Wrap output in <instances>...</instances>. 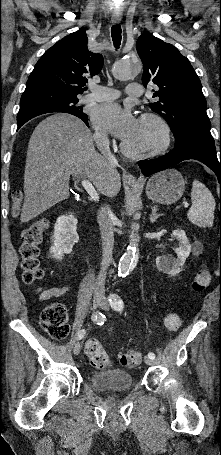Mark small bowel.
I'll use <instances>...</instances> for the list:
<instances>
[{
	"mask_svg": "<svg viewBox=\"0 0 221 455\" xmlns=\"http://www.w3.org/2000/svg\"><path fill=\"white\" fill-rule=\"evenodd\" d=\"M71 289V285L67 284L64 286H59V287H39L38 288V295H39V300L41 301H47L51 298H57L65 295L69 290Z\"/></svg>",
	"mask_w": 221,
	"mask_h": 455,
	"instance_id": "c3829d8e",
	"label": "small bowel"
}]
</instances>
